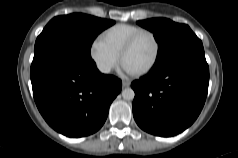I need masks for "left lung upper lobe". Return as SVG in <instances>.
I'll use <instances>...</instances> for the list:
<instances>
[{
  "mask_svg": "<svg viewBox=\"0 0 238 158\" xmlns=\"http://www.w3.org/2000/svg\"><path fill=\"white\" fill-rule=\"evenodd\" d=\"M137 24L153 32L159 45L155 65L187 48L202 45L201 40L185 24L175 23L166 18L147 19L138 21Z\"/></svg>",
  "mask_w": 238,
  "mask_h": 158,
  "instance_id": "obj_1",
  "label": "left lung upper lobe"
}]
</instances>
